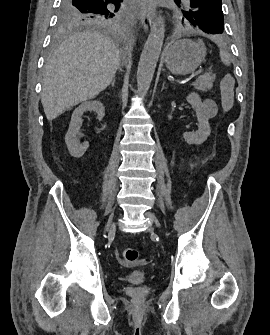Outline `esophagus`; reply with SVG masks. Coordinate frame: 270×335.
Returning a JSON list of instances; mask_svg holds the SVG:
<instances>
[{
  "mask_svg": "<svg viewBox=\"0 0 270 335\" xmlns=\"http://www.w3.org/2000/svg\"><path fill=\"white\" fill-rule=\"evenodd\" d=\"M157 0H140L141 11L139 13L142 26L145 31H148L152 25Z\"/></svg>",
  "mask_w": 270,
  "mask_h": 335,
  "instance_id": "obj_1",
  "label": "esophagus"
}]
</instances>
